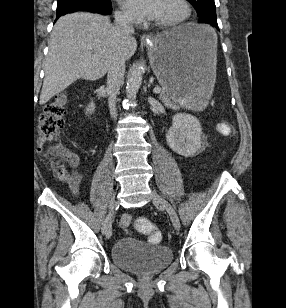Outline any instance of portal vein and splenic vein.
<instances>
[{"label": "portal vein and splenic vein", "mask_w": 286, "mask_h": 308, "mask_svg": "<svg viewBox=\"0 0 286 308\" xmlns=\"http://www.w3.org/2000/svg\"><path fill=\"white\" fill-rule=\"evenodd\" d=\"M93 59H97V56L94 55V56H93ZM153 92H154V93H160V92H161V88H160V87H155V88L153 89Z\"/></svg>", "instance_id": "obj_1"}]
</instances>
